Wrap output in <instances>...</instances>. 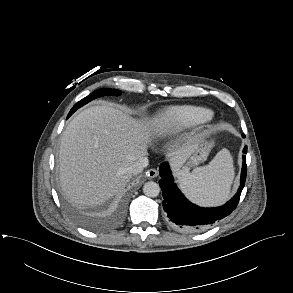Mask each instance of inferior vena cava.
I'll list each match as a JSON object with an SVG mask.
<instances>
[{
	"label": "inferior vena cava",
	"instance_id": "inferior-vena-cava-1",
	"mask_svg": "<svg viewBox=\"0 0 293 293\" xmlns=\"http://www.w3.org/2000/svg\"><path fill=\"white\" fill-rule=\"evenodd\" d=\"M148 158L147 157H141L139 160H137L136 162H134L129 170L132 174L136 175V174H139L143 171V169L145 167L148 166Z\"/></svg>",
	"mask_w": 293,
	"mask_h": 293
}]
</instances>
